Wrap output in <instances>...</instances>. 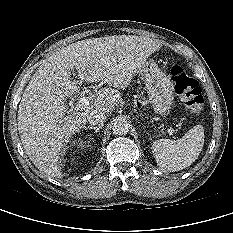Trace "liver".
<instances>
[{"label":"liver","mask_w":233,"mask_h":233,"mask_svg":"<svg viewBox=\"0 0 233 233\" xmlns=\"http://www.w3.org/2000/svg\"><path fill=\"white\" fill-rule=\"evenodd\" d=\"M158 41L135 35H117L78 41L54 52L27 85L18 109L17 125L25 153L32 163L52 178H62L61 161L70 137L85 127L95 110L109 112L121 100L119 90L129 85ZM75 69L86 82H101L87 108L67 111L66 97L80 91L71 78Z\"/></svg>","instance_id":"1"}]
</instances>
